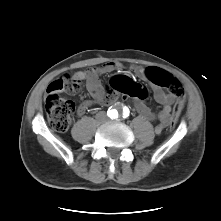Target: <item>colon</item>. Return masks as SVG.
Masks as SVG:
<instances>
[{"mask_svg": "<svg viewBox=\"0 0 221 221\" xmlns=\"http://www.w3.org/2000/svg\"><path fill=\"white\" fill-rule=\"evenodd\" d=\"M147 74L151 81L158 86L167 88L173 95L179 97L183 93L180 81L170 73L149 68ZM79 84L70 82L68 78L61 77L50 84L45 101L46 113L49 122L54 130L64 132L68 129L74 115L75 105L70 99L60 97L59 94L63 91L75 94L79 91ZM124 92L130 97L146 99L149 95L148 89L138 83H130L125 87ZM179 113L178 107H174L173 115Z\"/></svg>", "mask_w": 221, "mask_h": 221, "instance_id": "obj_1", "label": "colon"}]
</instances>
